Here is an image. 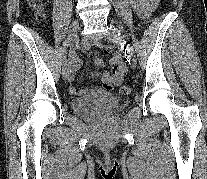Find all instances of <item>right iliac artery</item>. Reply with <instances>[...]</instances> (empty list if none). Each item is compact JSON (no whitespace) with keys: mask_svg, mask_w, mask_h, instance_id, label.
Returning a JSON list of instances; mask_svg holds the SVG:
<instances>
[{"mask_svg":"<svg viewBox=\"0 0 207 179\" xmlns=\"http://www.w3.org/2000/svg\"><path fill=\"white\" fill-rule=\"evenodd\" d=\"M69 45H70L69 41H65L64 44H63V49H62V61H63V64L67 62L66 49L68 48Z\"/></svg>","mask_w":207,"mask_h":179,"instance_id":"obj_1","label":"right iliac artery"}]
</instances>
